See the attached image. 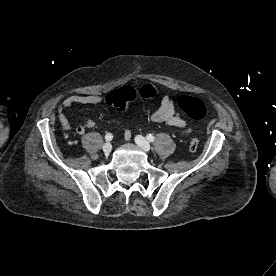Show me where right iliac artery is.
<instances>
[{
  "label": "right iliac artery",
  "instance_id": "obj_1",
  "mask_svg": "<svg viewBox=\"0 0 276 276\" xmlns=\"http://www.w3.org/2000/svg\"><path fill=\"white\" fill-rule=\"evenodd\" d=\"M112 138H113V135H112L111 133H107V134L105 135V140H106V141H111Z\"/></svg>",
  "mask_w": 276,
  "mask_h": 276
}]
</instances>
